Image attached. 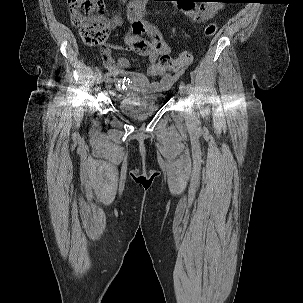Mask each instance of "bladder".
I'll use <instances>...</instances> for the list:
<instances>
[{
	"label": "bladder",
	"mask_w": 303,
	"mask_h": 303,
	"mask_svg": "<svg viewBox=\"0 0 303 303\" xmlns=\"http://www.w3.org/2000/svg\"><path fill=\"white\" fill-rule=\"evenodd\" d=\"M141 94V93H139ZM164 94H132L120 99V109L129 118L140 120L156 112L164 102Z\"/></svg>",
	"instance_id": "bladder-1"
}]
</instances>
